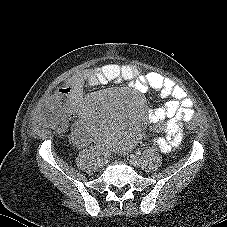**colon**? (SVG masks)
Listing matches in <instances>:
<instances>
[{"label": "colon", "instance_id": "obj_1", "mask_svg": "<svg viewBox=\"0 0 227 227\" xmlns=\"http://www.w3.org/2000/svg\"><path fill=\"white\" fill-rule=\"evenodd\" d=\"M178 133L182 138L187 139L191 136L192 130L189 126L183 125L179 128Z\"/></svg>", "mask_w": 227, "mask_h": 227}]
</instances>
